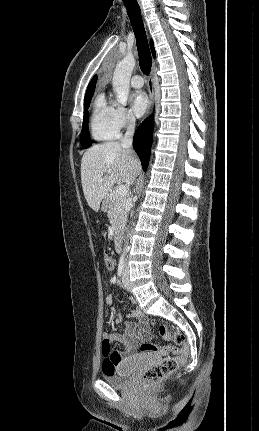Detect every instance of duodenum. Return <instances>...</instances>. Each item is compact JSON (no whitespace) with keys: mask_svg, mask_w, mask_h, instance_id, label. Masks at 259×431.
<instances>
[{"mask_svg":"<svg viewBox=\"0 0 259 431\" xmlns=\"http://www.w3.org/2000/svg\"><path fill=\"white\" fill-rule=\"evenodd\" d=\"M104 208H107V204L104 205ZM121 246H122V237L120 232H116L115 235V249L116 251H120L121 250Z\"/></svg>","mask_w":259,"mask_h":431,"instance_id":"duodenum-1","label":"duodenum"}]
</instances>
